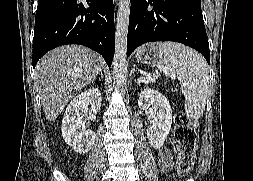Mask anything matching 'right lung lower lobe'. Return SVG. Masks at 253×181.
Listing matches in <instances>:
<instances>
[{
	"instance_id": "98d812e1",
	"label": "right lung lower lobe",
	"mask_w": 253,
	"mask_h": 181,
	"mask_svg": "<svg viewBox=\"0 0 253 181\" xmlns=\"http://www.w3.org/2000/svg\"><path fill=\"white\" fill-rule=\"evenodd\" d=\"M66 44L87 46L110 66L115 50L113 0H38L33 67L46 52Z\"/></svg>"
}]
</instances>
